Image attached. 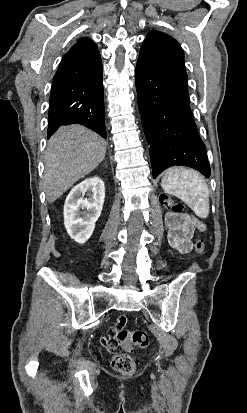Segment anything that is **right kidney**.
I'll use <instances>...</instances> for the list:
<instances>
[{"mask_svg": "<svg viewBox=\"0 0 247 413\" xmlns=\"http://www.w3.org/2000/svg\"><path fill=\"white\" fill-rule=\"evenodd\" d=\"M87 192L88 198L82 194ZM105 198V186L99 176L85 178L73 186L64 204L65 229L79 245L90 239L97 219H99ZM86 209V211H80Z\"/></svg>", "mask_w": 247, "mask_h": 413, "instance_id": "1", "label": "right kidney"}]
</instances>
